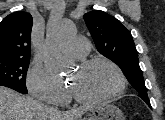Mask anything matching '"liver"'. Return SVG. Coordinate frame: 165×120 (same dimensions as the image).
<instances>
[{
    "mask_svg": "<svg viewBox=\"0 0 165 120\" xmlns=\"http://www.w3.org/2000/svg\"><path fill=\"white\" fill-rule=\"evenodd\" d=\"M85 111L77 109L60 113L37 100L0 86V120H76Z\"/></svg>",
    "mask_w": 165,
    "mask_h": 120,
    "instance_id": "6515ba94",
    "label": "liver"
}]
</instances>
